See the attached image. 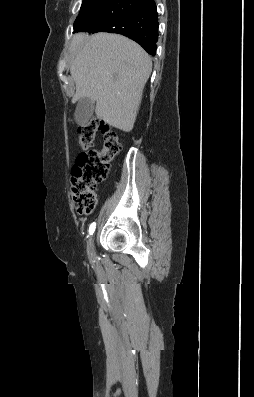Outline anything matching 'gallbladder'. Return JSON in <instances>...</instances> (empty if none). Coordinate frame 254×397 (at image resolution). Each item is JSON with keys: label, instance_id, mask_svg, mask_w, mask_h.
<instances>
[{"label": "gallbladder", "instance_id": "gallbladder-1", "mask_svg": "<svg viewBox=\"0 0 254 397\" xmlns=\"http://www.w3.org/2000/svg\"><path fill=\"white\" fill-rule=\"evenodd\" d=\"M94 111V103L90 98L84 97L78 101L74 119L78 125H85Z\"/></svg>", "mask_w": 254, "mask_h": 397}]
</instances>
